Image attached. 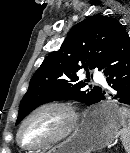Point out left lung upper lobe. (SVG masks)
I'll list each match as a JSON object with an SVG mask.
<instances>
[{"label":"left lung upper lobe","mask_w":130,"mask_h":153,"mask_svg":"<svg viewBox=\"0 0 130 153\" xmlns=\"http://www.w3.org/2000/svg\"><path fill=\"white\" fill-rule=\"evenodd\" d=\"M123 26L118 20L100 14L74 25L58 51L49 54L30 80L20 103L16 124L38 106L55 100H76L92 105L102 91L94 86L83 91L89 82V70H101ZM87 71L88 80L77 73Z\"/></svg>","instance_id":"left-lung-upper-lobe-1"}]
</instances>
